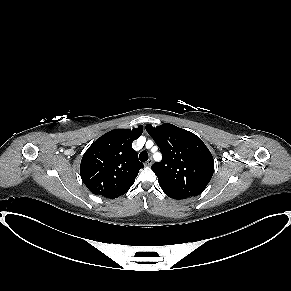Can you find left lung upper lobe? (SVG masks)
Segmentation results:
<instances>
[{"mask_svg":"<svg viewBox=\"0 0 291 291\" xmlns=\"http://www.w3.org/2000/svg\"><path fill=\"white\" fill-rule=\"evenodd\" d=\"M146 130L163 154L151 169L163 191L181 198L197 196L203 192L214 173V160L203 141L190 131L164 123Z\"/></svg>","mask_w":291,"mask_h":291,"instance_id":"left-lung-upper-lobe-1","label":"left lung upper lobe"}]
</instances>
